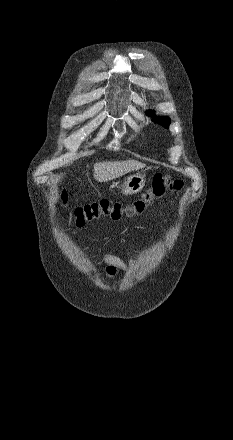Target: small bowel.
I'll list each match as a JSON object with an SVG mask.
<instances>
[{
  "instance_id": "1",
  "label": "small bowel",
  "mask_w": 233,
  "mask_h": 440,
  "mask_svg": "<svg viewBox=\"0 0 233 440\" xmlns=\"http://www.w3.org/2000/svg\"><path fill=\"white\" fill-rule=\"evenodd\" d=\"M102 260L107 265L105 274L109 277L116 276L121 271H126L129 267H133L135 265V260L133 256V251H127V262L122 260L116 255L110 253H103Z\"/></svg>"
}]
</instances>
